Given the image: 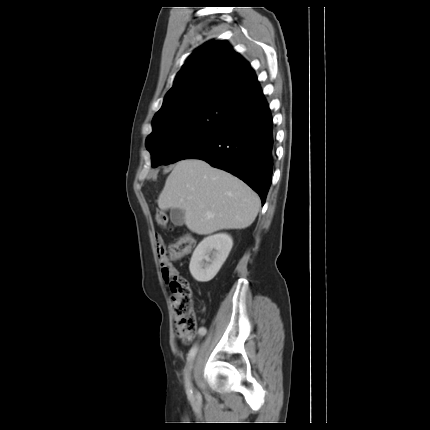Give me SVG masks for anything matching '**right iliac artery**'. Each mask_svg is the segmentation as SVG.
I'll use <instances>...</instances> for the list:
<instances>
[{
	"label": "right iliac artery",
	"instance_id": "1",
	"mask_svg": "<svg viewBox=\"0 0 430 430\" xmlns=\"http://www.w3.org/2000/svg\"><path fill=\"white\" fill-rule=\"evenodd\" d=\"M199 334H200L199 336L202 338L204 335H206V330H200ZM197 350H198V343H195L193 345V347L190 349V351L188 353V357H187L188 364H187V367H186L184 379H185L186 392H187V395H188L189 398H191L192 394H193L189 371H190V368H191L192 361H193V359H194V357H195V355L197 353Z\"/></svg>",
	"mask_w": 430,
	"mask_h": 430
}]
</instances>
